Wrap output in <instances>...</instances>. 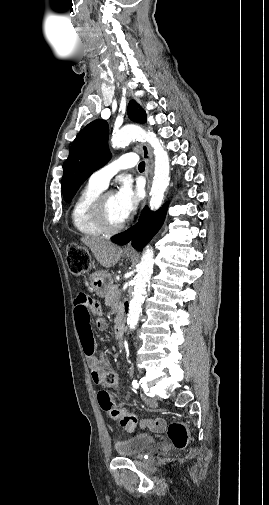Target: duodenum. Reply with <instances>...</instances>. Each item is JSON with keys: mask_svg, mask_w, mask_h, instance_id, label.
Wrapping results in <instances>:
<instances>
[{"mask_svg": "<svg viewBox=\"0 0 269 505\" xmlns=\"http://www.w3.org/2000/svg\"><path fill=\"white\" fill-rule=\"evenodd\" d=\"M125 334V323L122 318H120L115 326V335L118 341H123Z\"/></svg>", "mask_w": 269, "mask_h": 505, "instance_id": "duodenum-1", "label": "duodenum"}]
</instances>
